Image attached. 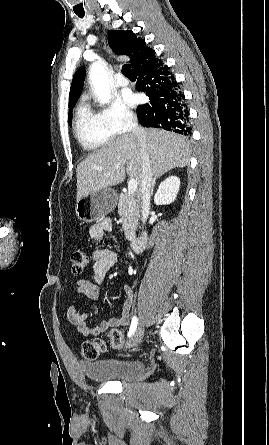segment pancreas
Here are the masks:
<instances>
[{"instance_id":"pancreas-1","label":"pancreas","mask_w":269,"mask_h":445,"mask_svg":"<svg viewBox=\"0 0 269 445\" xmlns=\"http://www.w3.org/2000/svg\"><path fill=\"white\" fill-rule=\"evenodd\" d=\"M118 213L122 219V227L124 229L126 239L129 241L134 240L135 231L140 217L139 205L135 200L134 195H129L128 193L120 194Z\"/></svg>"}]
</instances>
